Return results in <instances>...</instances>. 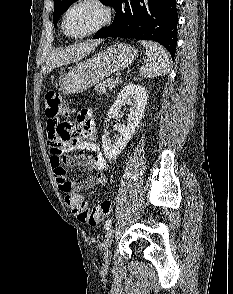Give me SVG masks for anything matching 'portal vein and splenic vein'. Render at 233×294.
Masks as SVG:
<instances>
[{
  "mask_svg": "<svg viewBox=\"0 0 233 294\" xmlns=\"http://www.w3.org/2000/svg\"><path fill=\"white\" fill-rule=\"evenodd\" d=\"M117 82L118 81H121V77H116V79H115Z\"/></svg>",
  "mask_w": 233,
  "mask_h": 294,
  "instance_id": "portal-vein-and-splenic-vein-1",
  "label": "portal vein and splenic vein"
}]
</instances>
